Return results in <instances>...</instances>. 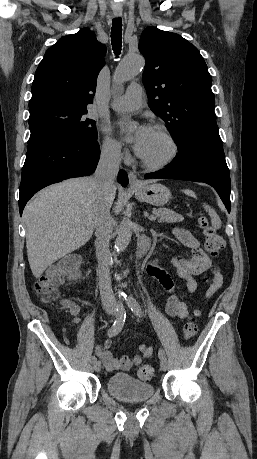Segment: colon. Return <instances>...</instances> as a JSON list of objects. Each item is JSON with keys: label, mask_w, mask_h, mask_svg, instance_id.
Segmentation results:
<instances>
[{"label": "colon", "mask_w": 257, "mask_h": 459, "mask_svg": "<svg viewBox=\"0 0 257 459\" xmlns=\"http://www.w3.org/2000/svg\"><path fill=\"white\" fill-rule=\"evenodd\" d=\"M200 226L205 238V248L211 255H217L224 247L223 238L210 225L207 218H200ZM78 258H69L51 267L34 284L35 292L40 296L44 303L56 301L59 298L58 287L65 277L76 276L80 267ZM198 331L197 323L194 318L188 319L183 326V336L191 339L196 336ZM137 374L142 380H150L155 370L150 365L139 367Z\"/></svg>", "instance_id": "colon-1"}]
</instances>
